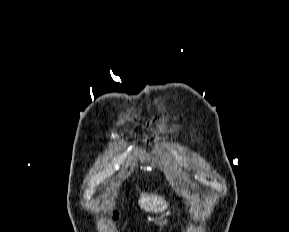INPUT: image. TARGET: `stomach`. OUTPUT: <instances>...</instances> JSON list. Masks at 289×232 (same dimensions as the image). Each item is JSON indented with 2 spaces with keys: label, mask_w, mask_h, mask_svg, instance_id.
<instances>
[{
  "label": "stomach",
  "mask_w": 289,
  "mask_h": 232,
  "mask_svg": "<svg viewBox=\"0 0 289 232\" xmlns=\"http://www.w3.org/2000/svg\"><path fill=\"white\" fill-rule=\"evenodd\" d=\"M150 222L157 226H164L167 223V219L162 213H153L151 217H149Z\"/></svg>",
  "instance_id": "1"
}]
</instances>
